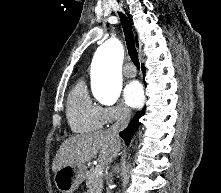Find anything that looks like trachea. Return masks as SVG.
<instances>
[{"instance_id":"obj_1","label":"trachea","mask_w":221,"mask_h":193,"mask_svg":"<svg viewBox=\"0 0 221 193\" xmlns=\"http://www.w3.org/2000/svg\"><path fill=\"white\" fill-rule=\"evenodd\" d=\"M118 14H119L121 24H122V27L124 30V35H125V40H126V45H127L129 56H130L132 62L134 63V65L139 69L140 63H139V59H138V53L135 48L134 35L132 32V28L130 26V23H129L126 15L123 14L122 12H119Z\"/></svg>"}]
</instances>
